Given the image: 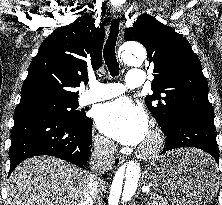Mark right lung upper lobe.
<instances>
[{"instance_id": "right-lung-upper-lobe-1", "label": "right lung upper lobe", "mask_w": 222, "mask_h": 205, "mask_svg": "<svg viewBox=\"0 0 222 205\" xmlns=\"http://www.w3.org/2000/svg\"><path fill=\"white\" fill-rule=\"evenodd\" d=\"M94 22L85 14L43 41L29 66L15 112L49 101H77L75 88L87 79L88 68L95 71L102 62L105 31L103 24L96 28Z\"/></svg>"}]
</instances>
